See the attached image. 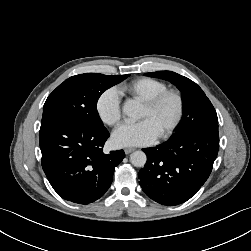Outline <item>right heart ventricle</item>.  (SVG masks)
Returning <instances> with one entry per match:
<instances>
[{
	"label": "right heart ventricle",
	"mask_w": 251,
	"mask_h": 251,
	"mask_svg": "<svg viewBox=\"0 0 251 251\" xmlns=\"http://www.w3.org/2000/svg\"><path fill=\"white\" fill-rule=\"evenodd\" d=\"M165 89L167 85L164 81L142 77L122 85L119 92L144 102Z\"/></svg>",
	"instance_id": "e07e8e85"
}]
</instances>
